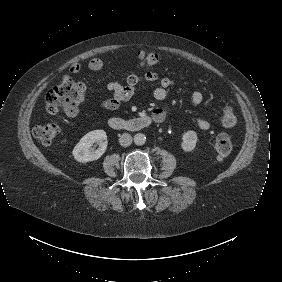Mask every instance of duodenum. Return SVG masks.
Segmentation results:
<instances>
[{
  "mask_svg": "<svg viewBox=\"0 0 282 282\" xmlns=\"http://www.w3.org/2000/svg\"><path fill=\"white\" fill-rule=\"evenodd\" d=\"M161 117H155V114L152 115H142L139 117H135L129 120H122L119 118H111L108 121L110 127L114 129H129V130H137L141 128L148 127L152 124V122L163 121L165 118L164 113H159Z\"/></svg>",
  "mask_w": 282,
  "mask_h": 282,
  "instance_id": "1",
  "label": "duodenum"
}]
</instances>
